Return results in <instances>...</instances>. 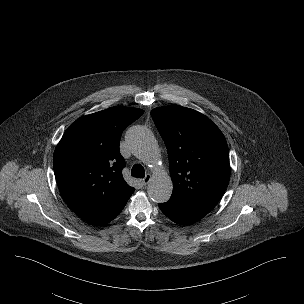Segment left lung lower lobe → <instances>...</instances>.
<instances>
[{
    "label": "left lung lower lobe",
    "mask_w": 304,
    "mask_h": 304,
    "mask_svg": "<svg viewBox=\"0 0 304 304\" xmlns=\"http://www.w3.org/2000/svg\"><path fill=\"white\" fill-rule=\"evenodd\" d=\"M159 207L170 220L183 225L195 223L208 213L173 198H170L166 203L159 204Z\"/></svg>",
    "instance_id": "left-lung-lower-lobe-1"
}]
</instances>
